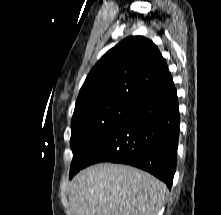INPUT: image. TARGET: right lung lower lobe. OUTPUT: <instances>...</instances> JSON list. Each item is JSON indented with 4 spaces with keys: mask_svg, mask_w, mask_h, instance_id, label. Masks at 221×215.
I'll return each instance as SVG.
<instances>
[{
    "mask_svg": "<svg viewBox=\"0 0 221 215\" xmlns=\"http://www.w3.org/2000/svg\"><path fill=\"white\" fill-rule=\"evenodd\" d=\"M178 137L179 105L172 82L134 103L93 151L85 167L98 162L128 164L153 174L170 189Z\"/></svg>",
    "mask_w": 221,
    "mask_h": 215,
    "instance_id": "98d812e1",
    "label": "right lung lower lobe"
}]
</instances>
